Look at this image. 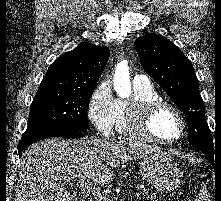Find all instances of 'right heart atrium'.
<instances>
[{"label":"right heart atrium","mask_w":221,"mask_h":201,"mask_svg":"<svg viewBox=\"0 0 221 201\" xmlns=\"http://www.w3.org/2000/svg\"><path fill=\"white\" fill-rule=\"evenodd\" d=\"M117 99L107 82L93 91L87 106V116L93 127L102 135H109L116 124Z\"/></svg>","instance_id":"1"}]
</instances>
